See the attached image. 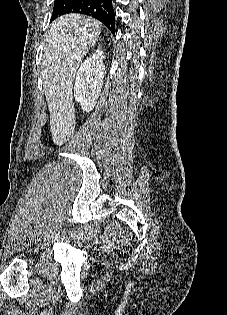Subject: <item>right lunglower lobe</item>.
Segmentation results:
<instances>
[{"instance_id": "right-lung-lower-lobe-1", "label": "right lung lower lobe", "mask_w": 227, "mask_h": 315, "mask_svg": "<svg viewBox=\"0 0 227 315\" xmlns=\"http://www.w3.org/2000/svg\"><path fill=\"white\" fill-rule=\"evenodd\" d=\"M69 13L92 16L104 23L115 35L112 0H55L51 21Z\"/></svg>"}]
</instances>
